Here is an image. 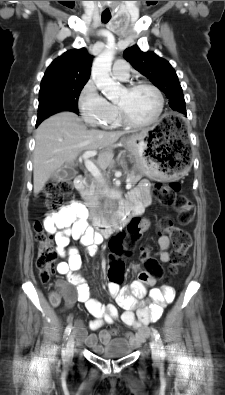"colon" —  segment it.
I'll return each mask as SVG.
<instances>
[{
  "mask_svg": "<svg viewBox=\"0 0 225 395\" xmlns=\"http://www.w3.org/2000/svg\"><path fill=\"white\" fill-rule=\"evenodd\" d=\"M72 191V184L70 180L64 179L52 182L46 185L44 189V197L46 202L53 208L60 205L61 200L68 196ZM154 195L158 202L163 206L173 207L177 213V220L182 225L190 224L195 216L194 205L184 196L180 194V185L177 182L157 183L154 188ZM133 223H127V234L122 240L121 234L123 229L119 230L120 234H114L113 238L109 239L108 251L120 252V245H132L133 241H140V233L142 229L139 222H142V215H133ZM36 242H37V257L36 267L39 272L41 282L47 283L55 271L56 266V252L54 250L53 239L50 233L45 231L41 223H35ZM158 229L161 233H166L170 236L173 243V252L171 257L170 270L175 273L180 267L184 266L188 261V250L191 246V236L185 229L174 225L170 218H163ZM129 235H133L130 238ZM133 239V240H132ZM125 256H132V249H125ZM142 261L148 267V275H155V281H162L165 270L164 268H157L153 260L151 250L141 249L139 252ZM109 283L112 288H122L123 283L120 279H124V272L126 270L122 260H114L113 265L109 267ZM73 291L67 287H62V295L71 297ZM61 294L53 293L50 296V301L53 305H58L61 302Z\"/></svg>",
  "mask_w": 225,
  "mask_h": 395,
  "instance_id": "1",
  "label": "colon"
}]
</instances>
